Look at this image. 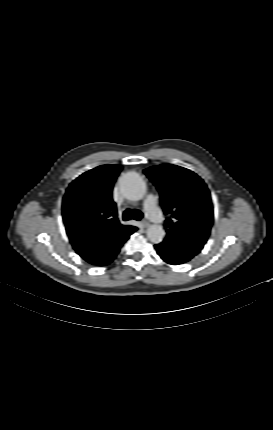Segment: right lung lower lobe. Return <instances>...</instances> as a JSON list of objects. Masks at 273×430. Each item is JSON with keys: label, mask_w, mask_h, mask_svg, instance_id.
Returning a JSON list of instances; mask_svg holds the SVG:
<instances>
[{"label": "right lung lower lobe", "mask_w": 273, "mask_h": 430, "mask_svg": "<svg viewBox=\"0 0 273 430\" xmlns=\"http://www.w3.org/2000/svg\"><path fill=\"white\" fill-rule=\"evenodd\" d=\"M123 243L112 242V243L103 244L102 245L103 253L101 254V256L89 263L94 265H99V266H105L109 264L114 260Z\"/></svg>", "instance_id": "1"}]
</instances>
